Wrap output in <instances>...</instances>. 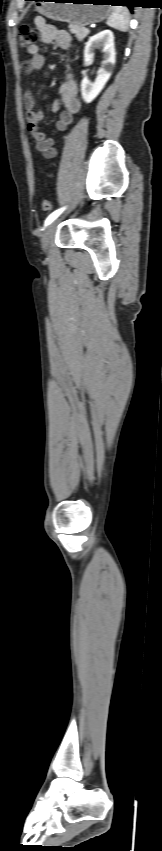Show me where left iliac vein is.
Wrapping results in <instances>:
<instances>
[{
  "mask_svg": "<svg viewBox=\"0 0 162 851\" xmlns=\"http://www.w3.org/2000/svg\"><path fill=\"white\" fill-rule=\"evenodd\" d=\"M60 220H61L60 218L55 219L53 222H51L45 228V230L42 234V238H41V245H42V248H43L44 251H47L49 249L50 243H51L53 236L55 234L56 227H57L58 223L60 222Z\"/></svg>",
  "mask_w": 162,
  "mask_h": 851,
  "instance_id": "left-iliac-vein-1",
  "label": "left iliac vein"
}]
</instances>
